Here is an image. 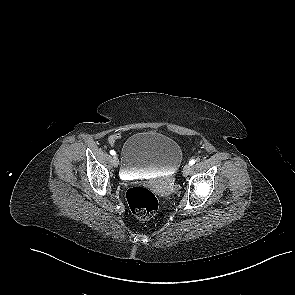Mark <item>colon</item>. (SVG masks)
I'll return each instance as SVG.
<instances>
[{
	"instance_id": "obj_1",
	"label": "colon",
	"mask_w": 295,
	"mask_h": 295,
	"mask_svg": "<svg viewBox=\"0 0 295 295\" xmlns=\"http://www.w3.org/2000/svg\"><path fill=\"white\" fill-rule=\"evenodd\" d=\"M126 200L131 212L140 220L150 219L158 210L156 196L144 187H131L126 192Z\"/></svg>"
}]
</instances>
